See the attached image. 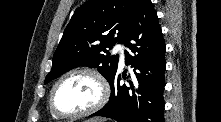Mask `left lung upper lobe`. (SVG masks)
Instances as JSON below:
<instances>
[{
    "label": "left lung upper lobe",
    "mask_w": 221,
    "mask_h": 122,
    "mask_svg": "<svg viewBox=\"0 0 221 122\" xmlns=\"http://www.w3.org/2000/svg\"><path fill=\"white\" fill-rule=\"evenodd\" d=\"M139 1L89 0L77 8L64 30L44 83L79 66L97 68L110 83L116 75L119 57L110 56L107 49L125 42Z\"/></svg>",
    "instance_id": "5c2ea615"
}]
</instances>
